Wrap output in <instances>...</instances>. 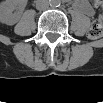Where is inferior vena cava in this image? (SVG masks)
Listing matches in <instances>:
<instances>
[{"mask_svg": "<svg viewBox=\"0 0 103 103\" xmlns=\"http://www.w3.org/2000/svg\"><path fill=\"white\" fill-rule=\"evenodd\" d=\"M49 8V3L47 0H38L36 2V9L37 10H46Z\"/></svg>", "mask_w": 103, "mask_h": 103, "instance_id": "1", "label": "inferior vena cava"}]
</instances>
